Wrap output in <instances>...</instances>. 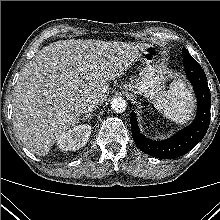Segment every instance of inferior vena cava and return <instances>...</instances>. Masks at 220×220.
<instances>
[{
  "label": "inferior vena cava",
  "instance_id": "1",
  "mask_svg": "<svg viewBox=\"0 0 220 220\" xmlns=\"http://www.w3.org/2000/svg\"><path fill=\"white\" fill-rule=\"evenodd\" d=\"M99 103L100 100L96 96L90 97L81 103V111L84 113L92 112L98 107Z\"/></svg>",
  "mask_w": 220,
  "mask_h": 220
}]
</instances>
